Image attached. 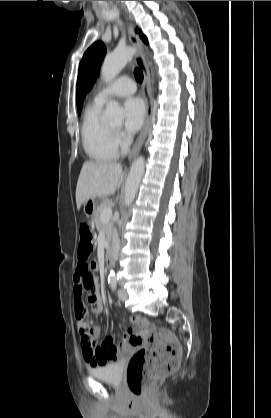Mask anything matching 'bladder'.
<instances>
[{
  "label": "bladder",
  "mask_w": 271,
  "mask_h": 418,
  "mask_svg": "<svg viewBox=\"0 0 271 418\" xmlns=\"http://www.w3.org/2000/svg\"><path fill=\"white\" fill-rule=\"evenodd\" d=\"M124 365L121 361H113L104 365L91 368L89 373L91 376L110 383L119 384L122 380Z\"/></svg>",
  "instance_id": "obj_1"
}]
</instances>
